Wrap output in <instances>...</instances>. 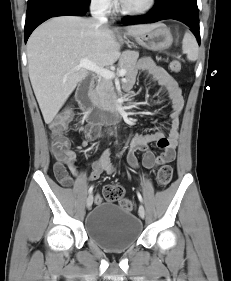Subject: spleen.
<instances>
[{
    "label": "spleen",
    "mask_w": 231,
    "mask_h": 281,
    "mask_svg": "<svg viewBox=\"0 0 231 281\" xmlns=\"http://www.w3.org/2000/svg\"><path fill=\"white\" fill-rule=\"evenodd\" d=\"M183 52L186 53L189 61L198 59V45L195 37L191 33H185L182 42Z\"/></svg>",
    "instance_id": "spleen-1"
}]
</instances>
